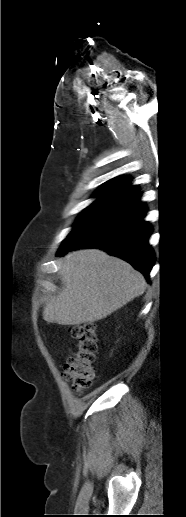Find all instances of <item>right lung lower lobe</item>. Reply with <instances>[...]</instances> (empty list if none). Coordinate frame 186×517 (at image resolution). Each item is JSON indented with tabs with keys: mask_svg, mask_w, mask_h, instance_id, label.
I'll list each match as a JSON object with an SVG mask.
<instances>
[{
	"mask_svg": "<svg viewBox=\"0 0 186 517\" xmlns=\"http://www.w3.org/2000/svg\"><path fill=\"white\" fill-rule=\"evenodd\" d=\"M140 195L138 192L114 204L78 230L63 242L57 255L79 248H99L129 262L149 279L155 260L148 243L152 227L143 220L146 206Z\"/></svg>",
	"mask_w": 186,
	"mask_h": 517,
	"instance_id": "obj_1",
	"label": "right lung lower lobe"
}]
</instances>
